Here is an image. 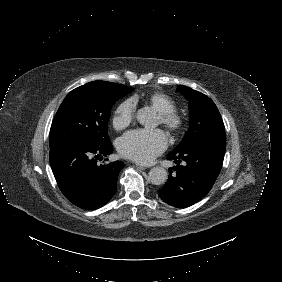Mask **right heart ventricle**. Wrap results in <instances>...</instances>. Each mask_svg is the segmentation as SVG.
I'll list each match as a JSON object with an SVG mask.
<instances>
[{
	"label": "right heart ventricle",
	"instance_id": "e07e8e85",
	"mask_svg": "<svg viewBox=\"0 0 282 282\" xmlns=\"http://www.w3.org/2000/svg\"><path fill=\"white\" fill-rule=\"evenodd\" d=\"M139 100L138 96H134L130 99L129 104L135 107ZM147 102L157 112H174V102L163 93H153L147 97Z\"/></svg>",
	"mask_w": 282,
	"mask_h": 282
}]
</instances>
